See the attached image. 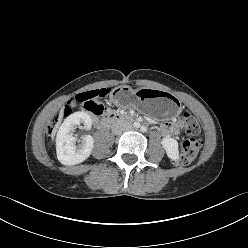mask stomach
Wrapping results in <instances>:
<instances>
[{
    "label": "stomach",
    "instance_id": "stomach-1",
    "mask_svg": "<svg viewBox=\"0 0 248 248\" xmlns=\"http://www.w3.org/2000/svg\"><path fill=\"white\" fill-rule=\"evenodd\" d=\"M114 100L120 107L135 105L140 113L154 119L172 117L180 111L179 100L159 90H133L128 86H120L114 91Z\"/></svg>",
    "mask_w": 248,
    "mask_h": 248
}]
</instances>
